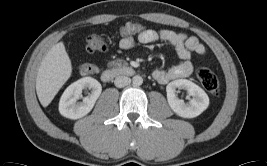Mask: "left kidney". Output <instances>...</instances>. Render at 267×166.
Listing matches in <instances>:
<instances>
[{
	"label": "left kidney",
	"instance_id": "left-kidney-1",
	"mask_svg": "<svg viewBox=\"0 0 267 166\" xmlns=\"http://www.w3.org/2000/svg\"><path fill=\"white\" fill-rule=\"evenodd\" d=\"M177 88L186 90L192 96L189 102L185 103L177 97ZM166 92L169 106L177 115L183 118L197 117L209 105V97L206 92L187 79H178L170 82L166 87Z\"/></svg>",
	"mask_w": 267,
	"mask_h": 166
}]
</instances>
